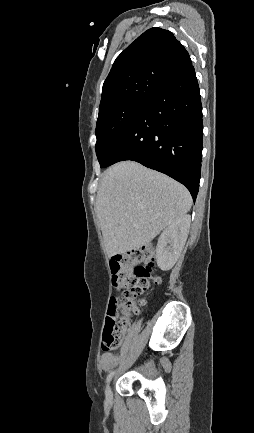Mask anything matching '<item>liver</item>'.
<instances>
[{
  "instance_id": "obj_1",
  "label": "liver",
  "mask_w": 254,
  "mask_h": 433,
  "mask_svg": "<svg viewBox=\"0 0 254 433\" xmlns=\"http://www.w3.org/2000/svg\"><path fill=\"white\" fill-rule=\"evenodd\" d=\"M192 206L180 183L133 161H123L103 174L96 212L109 257L140 248Z\"/></svg>"
}]
</instances>
